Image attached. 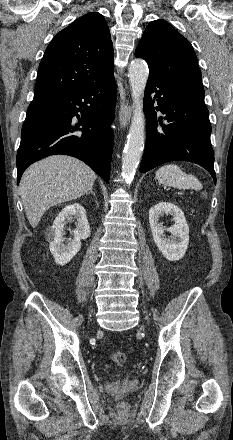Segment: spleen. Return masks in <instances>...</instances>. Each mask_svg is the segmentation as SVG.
Segmentation results:
<instances>
[{
    "label": "spleen",
    "instance_id": "obj_1",
    "mask_svg": "<svg viewBox=\"0 0 233 440\" xmlns=\"http://www.w3.org/2000/svg\"><path fill=\"white\" fill-rule=\"evenodd\" d=\"M156 179L163 185L177 189L201 190L203 188L194 175L183 172L176 164H166L160 167L156 172Z\"/></svg>",
    "mask_w": 233,
    "mask_h": 440
}]
</instances>
